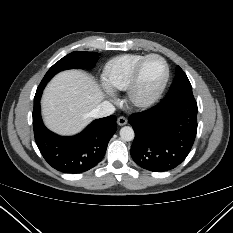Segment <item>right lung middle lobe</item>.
Here are the masks:
<instances>
[{
  "instance_id": "right-lung-middle-lobe-1",
  "label": "right lung middle lobe",
  "mask_w": 233,
  "mask_h": 233,
  "mask_svg": "<svg viewBox=\"0 0 233 233\" xmlns=\"http://www.w3.org/2000/svg\"><path fill=\"white\" fill-rule=\"evenodd\" d=\"M96 52H72L56 62L45 74L39 87L44 88L50 79L60 71L73 68H92L98 60Z\"/></svg>"
}]
</instances>
